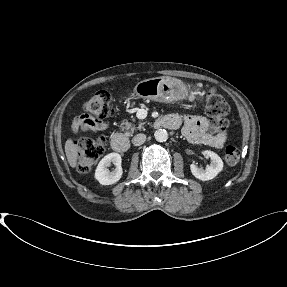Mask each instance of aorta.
<instances>
[{"instance_id":"aorta-1","label":"aorta","mask_w":287,"mask_h":287,"mask_svg":"<svg viewBox=\"0 0 287 287\" xmlns=\"http://www.w3.org/2000/svg\"><path fill=\"white\" fill-rule=\"evenodd\" d=\"M154 136L158 142H165L168 139V132L165 129H158L155 131Z\"/></svg>"}]
</instances>
